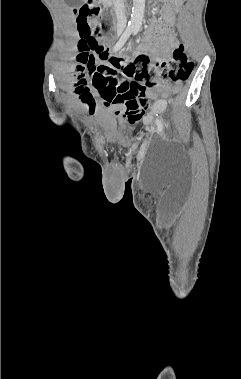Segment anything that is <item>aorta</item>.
Wrapping results in <instances>:
<instances>
[{"instance_id":"1","label":"aorta","mask_w":241,"mask_h":379,"mask_svg":"<svg viewBox=\"0 0 241 379\" xmlns=\"http://www.w3.org/2000/svg\"><path fill=\"white\" fill-rule=\"evenodd\" d=\"M144 10L145 0H133L131 20L129 22V27L133 31H138L140 29L144 17Z\"/></svg>"}]
</instances>
